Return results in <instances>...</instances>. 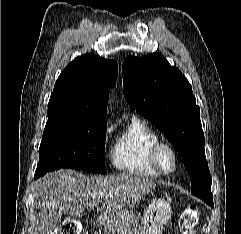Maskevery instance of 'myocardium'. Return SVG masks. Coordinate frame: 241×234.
I'll return each mask as SVG.
<instances>
[{
    "instance_id": "myocardium-1",
    "label": "myocardium",
    "mask_w": 241,
    "mask_h": 234,
    "mask_svg": "<svg viewBox=\"0 0 241 234\" xmlns=\"http://www.w3.org/2000/svg\"><path fill=\"white\" fill-rule=\"evenodd\" d=\"M167 153L171 158V166L165 167L163 163V154ZM150 160L155 169L163 175H169L173 173L178 164V155L175 148L164 141H157L150 150Z\"/></svg>"
}]
</instances>
